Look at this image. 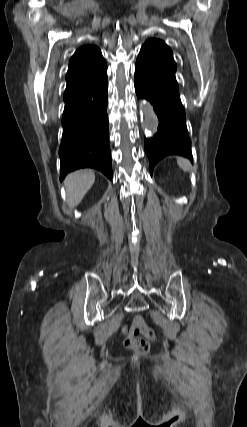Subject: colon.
I'll return each instance as SVG.
<instances>
[{
	"instance_id": "obj_1",
	"label": "colon",
	"mask_w": 247,
	"mask_h": 427,
	"mask_svg": "<svg viewBox=\"0 0 247 427\" xmlns=\"http://www.w3.org/2000/svg\"><path fill=\"white\" fill-rule=\"evenodd\" d=\"M139 334L144 338H139ZM155 338L154 330L145 323L141 316H137L133 320L130 334L124 340V345L140 354H147L150 350V342Z\"/></svg>"
}]
</instances>
